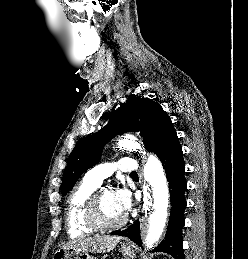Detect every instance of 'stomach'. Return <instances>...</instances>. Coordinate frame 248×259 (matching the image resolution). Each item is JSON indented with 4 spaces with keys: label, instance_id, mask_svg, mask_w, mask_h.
I'll return each mask as SVG.
<instances>
[{
    "label": "stomach",
    "instance_id": "obj_1",
    "mask_svg": "<svg viewBox=\"0 0 248 259\" xmlns=\"http://www.w3.org/2000/svg\"><path fill=\"white\" fill-rule=\"evenodd\" d=\"M120 252L126 259H133L135 257V250L131 245H121ZM52 259H96L89 253L79 251L73 248L59 249L53 255ZM103 259V258H101Z\"/></svg>",
    "mask_w": 248,
    "mask_h": 259
}]
</instances>
